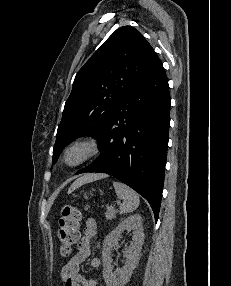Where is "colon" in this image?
<instances>
[{
  "label": "colon",
  "mask_w": 231,
  "mask_h": 286,
  "mask_svg": "<svg viewBox=\"0 0 231 286\" xmlns=\"http://www.w3.org/2000/svg\"><path fill=\"white\" fill-rule=\"evenodd\" d=\"M80 219L81 212L77 207L68 205L62 208L58 228V239L62 256L70 255L73 247L79 241Z\"/></svg>",
  "instance_id": "obj_1"
}]
</instances>
